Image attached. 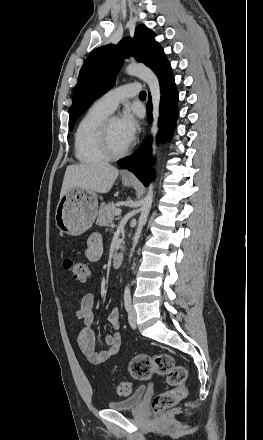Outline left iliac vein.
I'll list each match as a JSON object with an SVG mask.
<instances>
[{
	"instance_id": "4c4485c4",
	"label": "left iliac vein",
	"mask_w": 263,
	"mask_h": 440,
	"mask_svg": "<svg viewBox=\"0 0 263 440\" xmlns=\"http://www.w3.org/2000/svg\"><path fill=\"white\" fill-rule=\"evenodd\" d=\"M128 321L130 326L135 329L137 326V314L136 310L133 307H130L128 312Z\"/></svg>"
}]
</instances>
